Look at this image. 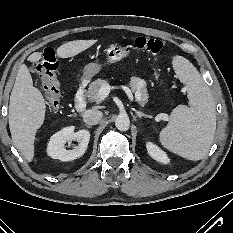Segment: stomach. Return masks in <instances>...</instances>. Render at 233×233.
I'll return each instance as SVG.
<instances>
[{"label": "stomach", "mask_w": 233, "mask_h": 233, "mask_svg": "<svg viewBox=\"0 0 233 233\" xmlns=\"http://www.w3.org/2000/svg\"><path fill=\"white\" fill-rule=\"evenodd\" d=\"M106 62L113 64L128 57L130 51L126 47L119 44H111L104 51ZM103 68V65L99 62L89 63L83 69V78L91 79L98 74Z\"/></svg>", "instance_id": "stomach-1"}]
</instances>
